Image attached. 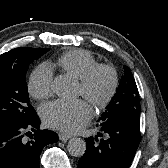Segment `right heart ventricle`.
<instances>
[{
    "instance_id": "obj_1",
    "label": "right heart ventricle",
    "mask_w": 168,
    "mask_h": 168,
    "mask_svg": "<svg viewBox=\"0 0 168 168\" xmlns=\"http://www.w3.org/2000/svg\"><path fill=\"white\" fill-rule=\"evenodd\" d=\"M57 64L67 73L81 79L91 68L98 64V61L91 52L74 49L59 56ZM48 66L50 67V65Z\"/></svg>"
}]
</instances>
